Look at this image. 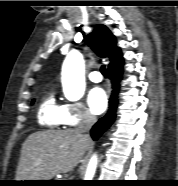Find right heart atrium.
I'll list each match as a JSON object with an SVG mask.
<instances>
[{
    "label": "right heart atrium",
    "instance_id": "right-heart-atrium-1",
    "mask_svg": "<svg viewBox=\"0 0 178 186\" xmlns=\"http://www.w3.org/2000/svg\"><path fill=\"white\" fill-rule=\"evenodd\" d=\"M93 121V114L82 104L72 103L66 105V124L68 126H78Z\"/></svg>",
    "mask_w": 178,
    "mask_h": 186
}]
</instances>
